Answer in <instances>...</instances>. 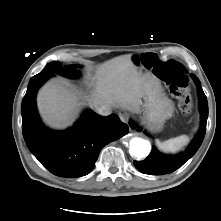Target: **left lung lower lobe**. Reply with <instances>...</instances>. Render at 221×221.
Masks as SVG:
<instances>
[{
	"label": "left lung lower lobe",
	"instance_id": "obj_1",
	"mask_svg": "<svg viewBox=\"0 0 221 221\" xmlns=\"http://www.w3.org/2000/svg\"><path fill=\"white\" fill-rule=\"evenodd\" d=\"M192 76L198 87L200 112L202 119L201 128L198 134L191 142L189 147L182 154L174 156L163 155L159 153L154 147L151 153L149 154V156L145 160L134 161L135 167L140 172L150 175H163V174L172 173L176 169L181 167L184 163H186L200 147L206 131V123L208 118V103H207V98L200 87L199 79L195 75ZM130 126L133 129L137 127V125L133 121H130Z\"/></svg>",
	"mask_w": 221,
	"mask_h": 221
}]
</instances>
